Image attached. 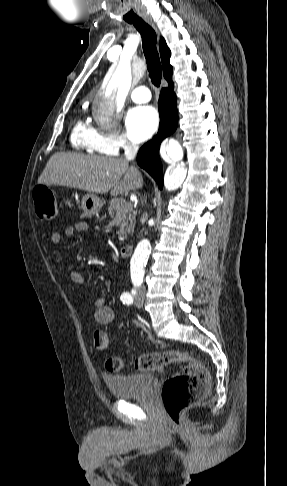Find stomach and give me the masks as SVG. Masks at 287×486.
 Returning a JSON list of instances; mask_svg holds the SVG:
<instances>
[{"mask_svg":"<svg viewBox=\"0 0 287 486\" xmlns=\"http://www.w3.org/2000/svg\"><path fill=\"white\" fill-rule=\"evenodd\" d=\"M102 206L101 199L93 193H87L82 197L81 207L88 214L98 213Z\"/></svg>","mask_w":287,"mask_h":486,"instance_id":"obj_1","label":"stomach"}]
</instances>
